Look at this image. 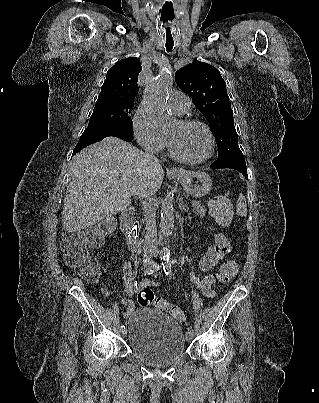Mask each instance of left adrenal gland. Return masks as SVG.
I'll list each match as a JSON object with an SVG mask.
<instances>
[{
    "mask_svg": "<svg viewBox=\"0 0 319 403\" xmlns=\"http://www.w3.org/2000/svg\"><path fill=\"white\" fill-rule=\"evenodd\" d=\"M179 209L182 212H188L189 208L186 205H183V199L179 201Z\"/></svg>",
    "mask_w": 319,
    "mask_h": 403,
    "instance_id": "left-adrenal-gland-1",
    "label": "left adrenal gland"
}]
</instances>
